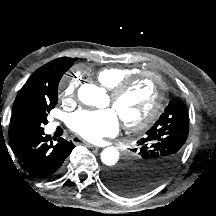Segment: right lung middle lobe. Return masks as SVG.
I'll list each match as a JSON object with an SVG mask.
<instances>
[{
  "instance_id": "1",
  "label": "right lung middle lobe",
  "mask_w": 216,
  "mask_h": 216,
  "mask_svg": "<svg viewBox=\"0 0 216 216\" xmlns=\"http://www.w3.org/2000/svg\"><path fill=\"white\" fill-rule=\"evenodd\" d=\"M66 68V70H68ZM65 70V71H66ZM58 97H56V100L52 104H46L44 105L37 114L29 117L26 121V129L28 132H40L43 131V124H47V113L50 112L51 109H53L57 103Z\"/></svg>"
}]
</instances>
